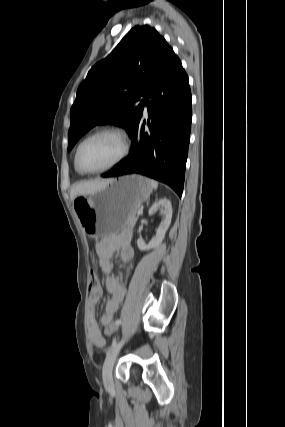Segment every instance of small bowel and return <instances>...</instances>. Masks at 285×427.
Returning <instances> with one entry per match:
<instances>
[{
  "instance_id": "c3829d8e",
  "label": "small bowel",
  "mask_w": 285,
  "mask_h": 427,
  "mask_svg": "<svg viewBox=\"0 0 285 427\" xmlns=\"http://www.w3.org/2000/svg\"><path fill=\"white\" fill-rule=\"evenodd\" d=\"M95 251L101 269L108 275L105 287L110 294V298L106 303L100 322L104 326H109L112 324L119 305L125 295V286L112 274V257L116 251H119L121 260L127 264L134 261L135 253L130 245L129 233H124L119 237H106L101 239L96 243ZM102 295L103 288L100 285L90 290L88 301L91 314H94L96 305L99 303ZM90 341L95 349H101L106 344L105 338L95 322L91 326Z\"/></svg>"
}]
</instances>
